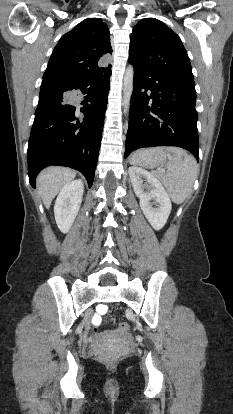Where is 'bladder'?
<instances>
[{"instance_id": "obj_1", "label": "bladder", "mask_w": 233, "mask_h": 414, "mask_svg": "<svg viewBox=\"0 0 233 414\" xmlns=\"http://www.w3.org/2000/svg\"><path fill=\"white\" fill-rule=\"evenodd\" d=\"M115 338H117V335L115 333H113V332H107V333H104V334H102L100 336V339L103 342H109V341H111V340H113Z\"/></svg>"}]
</instances>
